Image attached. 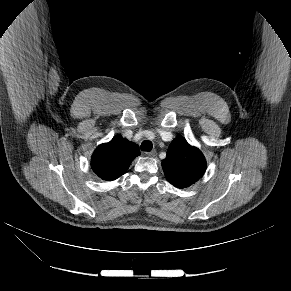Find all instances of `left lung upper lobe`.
I'll return each mask as SVG.
<instances>
[{"label": "left lung upper lobe", "mask_w": 291, "mask_h": 291, "mask_svg": "<svg viewBox=\"0 0 291 291\" xmlns=\"http://www.w3.org/2000/svg\"><path fill=\"white\" fill-rule=\"evenodd\" d=\"M166 179L175 187L186 188L197 182L205 173L206 160L201 151L177 136L162 161Z\"/></svg>", "instance_id": "1"}]
</instances>
